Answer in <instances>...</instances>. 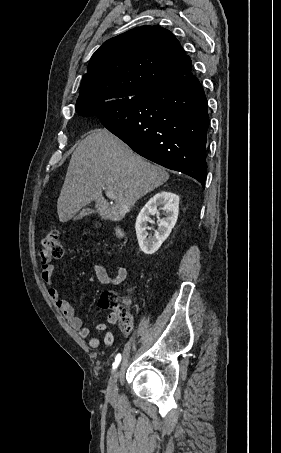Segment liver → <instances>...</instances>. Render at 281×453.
Returning <instances> with one entry per match:
<instances>
[{
    "label": "liver",
    "instance_id": "1",
    "mask_svg": "<svg viewBox=\"0 0 281 453\" xmlns=\"http://www.w3.org/2000/svg\"><path fill=\"white\" fill-rule=\"evenodd\" d=\"M75 148L57 200L60 222L95 200L104 220H122L135 202L169 178L163 166L135 154L107 128H94ZM102 190L116 194L110 204Z\"/></svg>",
    "mask_w": 281,
    "mask_h": 453
}]
</instances>
